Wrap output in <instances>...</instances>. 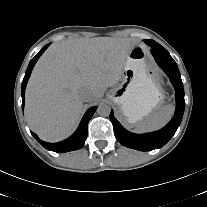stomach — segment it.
I'll return each mask as SVG.
<instances>
[{"mask_svg":"<svg viewBox=\"0 0 207 207\" xmlns=\"http://www.w3.org/2000/svg\"><path fill=\"white\" fill-rule=\"evenodd\" d=\"M119 108V117L133 125L156 111L164 101V90L147 50L136 44L128 53L120 83L107 94Z\"/></svg>","mask_w":207,"mask_h":207,"instance_id":"0dacf381","label":"stomach"}]
</instances>
